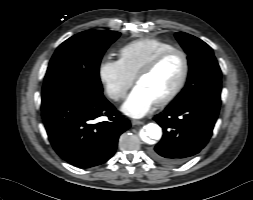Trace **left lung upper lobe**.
Here are the masks:
<instances>
[{"instance_id": "1", "label": "left lung upper lobe", "mask_w": 253, "mask_h": 200, "mask_svg": "<svg viewBox=\"0 0 253 200\" xmlns=\"http://www.w3.org/2000/svg\"><path fill=\"white\" fill-rule=\"evenodd\" d=\"M175 37L188 55L189 76L171 104H186L201 96L221 94V70L212 48L197 37L178 32Z\"/></svg>"}]
</instances>
